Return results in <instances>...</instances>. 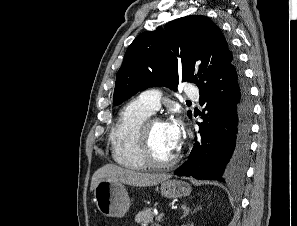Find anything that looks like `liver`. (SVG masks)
Wrapping results in <instances>:
<instances>
[{
  "label": "liver",
  "mask_w": 297,
  "mask_h": 226,
  "mask_svg": "<svg viewBox=\"0 0 297 226\" xmlns=\"http://www.w3.org/2000/svg\"><path fill=\"white\" fill-rule=\"evenodd\" d=\"M168 178H170V175L143 173L124 169L114 164H107L93 174L90 191H93L97 184L103 180L119 181L137 187H150Z\"/></svg>",
  "instance_id": "1"
}]
</instances>
